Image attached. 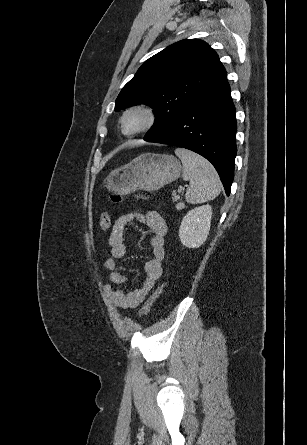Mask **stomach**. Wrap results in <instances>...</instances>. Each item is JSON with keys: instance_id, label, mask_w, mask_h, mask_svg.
Listing matches in <instances>:
<instances>
[{"instance_id": "0dacf381", "label": "stomach", "mask_w": 307, "mask_h": 445, "mask_svg": "<svg viewBox=\"0 0 307 445\" xmlns=\"http://www.w3.org/2000/svg\"><path fill=\"white\" fill-rule=\"evenodd\" d=\"M182 164L172 154L143 152L128 164L114 168L105 178V186L113 192L130 194L134 190H159L179 178Z\"/></svg>"}]
</instances>
